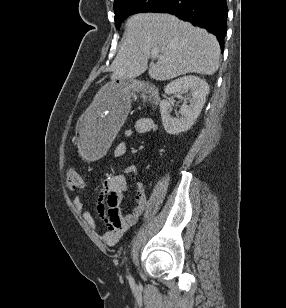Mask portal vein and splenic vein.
Wrapping results in <instances>:
<instances>
[{"label":"portal vein and splenic vein","instance_id":"obj_1","mask_svg":"<svg viewBox=\"0 0 286 308\" xmlns=\"http://www.w3.org/2000/svg\"><path fill=\"white\" fill-rule=\"evenodd\" d=\"M151 57H153V58L159 57L158 50H153L152 53H151Z\"/></svg>","mask_w":286,"mask_h":308}]
</instances>
